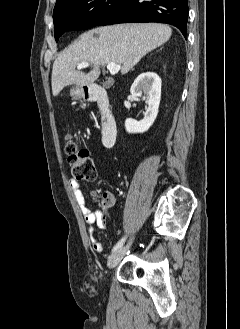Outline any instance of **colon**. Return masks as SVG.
I'll list each match as a JSON object with an SVG mask.
<instances>
[{
    "mask_svg": "<svg viewBox=\"0 0 240 329\" xmlns=\"http://www.w3.org/2000/svg\"><path fill=\"white\" fill-rule=\"evenodd\" d=\"M65 152L71 165L73 177L78 181H93L96 178V167L90 151L79 141L69 139ZM105 205L109 198L100 197Z\"/></svg>",
    "mask_w": 240,
    "mask_h": 329,
    "instance_id": "obj_1",
    "label": "colon"
}]
</instances>
